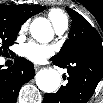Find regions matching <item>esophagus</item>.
Returning a JSON list of instances; mask_svg holds the SVG:
<instances>
[{"label":"esophagus","mask_w":103,"mask_h":103,"mask_svg":"<svg viewBox=\"0 0 103 103\" xmlns=\"http://www.w3.org/2000/svg\"><path fill=\"white\" fill-rule=\"evenodd\" d=\"M40 68H42L41 65H38V64H35V65H34V69H35L36 71L39 70Z\"/></svg>","instance_id":"1"}]
</instances>
